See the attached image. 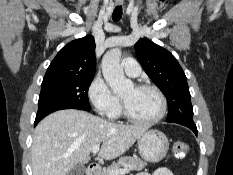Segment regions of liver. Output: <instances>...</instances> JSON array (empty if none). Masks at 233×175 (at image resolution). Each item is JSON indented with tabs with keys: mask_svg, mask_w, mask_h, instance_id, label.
I'll list each match as a JSON object with an SVG mask.
<instances>
[{
	"mask_svg": "<svg viewBox=\"0 0 233 175\" xmlns=\"http://www.w3.org/2000/svg\"><path fill=\"white\" fill-rule=\"evenodd\" d=\"M147 130L119 125L84 111L66 109L44 118L31 147L33 175H68L89 161L92 147L102 143L99 157L112 160L125 153Z\"/></svg>",
	"mask_w": 233,
	"mask_h": 175,
	"instance_id": "obj_1",
	"label": "liver"
}]
</instances>
